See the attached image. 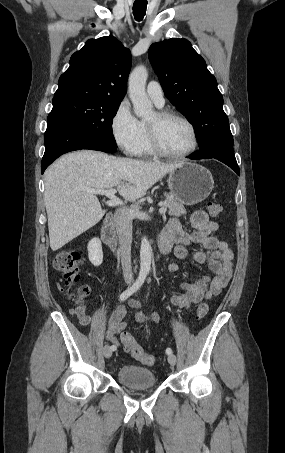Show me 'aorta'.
<instances>
[{"label":"aorta","mask_w":285,"mask_h":453,"mask_svg":"<svg viewBox=\"0 0 285 453\" xmlns=\"http://www.w3.org/2000/svg\"><path fill=\"white\" fill-rule=\"evenodd\" d=\"M148 72L145 66L134 68L129 77V97L137 117L145 118L153 113V105L145 92ZM152 249L146 237L140 246V273L147 274L151 270Z\"/></svg>","instance_id":"obj_1"}]
</instances>
